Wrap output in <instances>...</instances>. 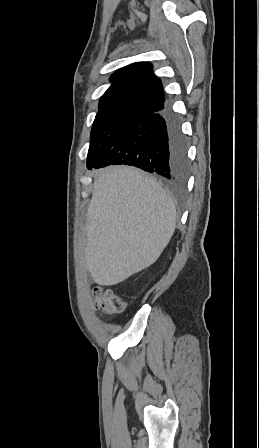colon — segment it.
<instances>
[{
	"label": "colon",
	"mask_w": 259,
	"mask_h": 448,
	"mask_svg": "<svg viewBox=\"0 0 259 448\" xmlns=\"http://www.w3.org/2000/svg\"><path fill=\"white\" fill-rule=\"evenodd\" d=\"M93 294L96 308L101 309L106 314H121L126 309L124 301L112 291L97 288Z\"/></svg>",
	"instance_id": "colon-1"
}]
</instances>
